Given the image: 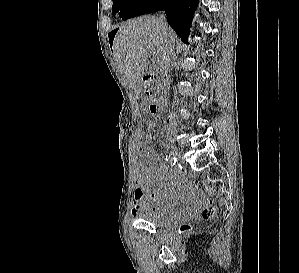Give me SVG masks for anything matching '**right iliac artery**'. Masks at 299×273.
<instances>
[{
    "mask_svg": "<svg viewBox=\"0 0 299 273\" xmlns=\"http://www.w3.org/2000/svg\"><path fill=\"white\" fill-rule=\"evenodd\" d=\"M165 160L170 164V165H175L176 159L174 156H172L171 154H167L165 156Z\"/></svg>",
    "mask_w": 299,
    "mask_h": 273,
    "instance_id": "obj_1",
    "label": "right iliac artery"
}]
</instances>
